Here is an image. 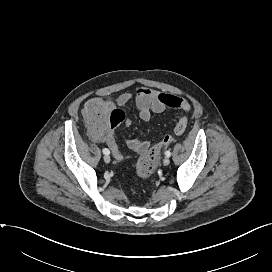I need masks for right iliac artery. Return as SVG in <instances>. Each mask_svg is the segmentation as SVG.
Returning <instances> with one entry per match:
<instances>
[{
    "instance_id": "82829eb1",
    "label": "right iliac artery",
    "mask_w": 272,
    "mask_h": 272,
    "mask_svg": "<svg viewBox=\"0 0 272 272\" xmlns=\"http://www.w3.org/2000/svg\"><path fill=\"white\" fill-rule=\"evenodd\" d=\"M102 151H103V153L105 155H109L110 154V151L107 148H104Z\"/></svg>"
}]
</instances>
